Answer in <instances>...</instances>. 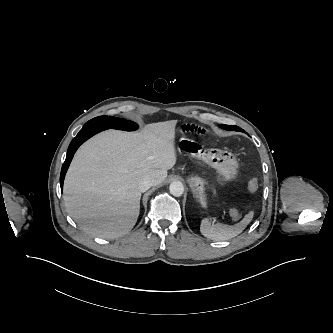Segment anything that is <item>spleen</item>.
Listing matches in <instances>:
<instances>
[{"label":"spleen","mask_w":333,"mask_h":333,"mask_svg":"<svg viewBox=\"0 0 333 333\" xmlns=\"http://www.w3.org/2000/svg\"><path fill=\"white\" fill-rule=\"evenodd\" d=\"M232 215L237 211L232 210ZM253 218V211H250L244 218L234 226H228L220 223L211 224L208 219H203L200 225V231L203 236L212 240H227L239 235Z\"/></svg>","instance_id":"spleen-1"}]
</instances>
